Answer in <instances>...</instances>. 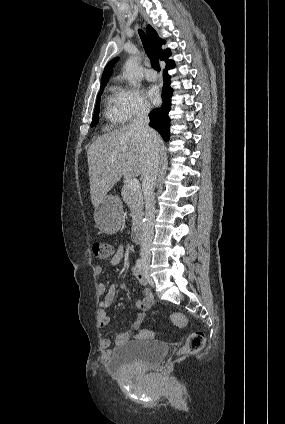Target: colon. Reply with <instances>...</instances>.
Instances as JSON below:
<instances>
[{
	"label": "colon",
	"mask_w": 285,
	"mask_h": 424,
	"mask_svg": "<svg viewBox=\"0 0 285 424\" xmlns=\"http://www.w3.org/2000/svg\"><path fill=\"white\" fill-rule=\"evenodd\" d=\"M92 250L94 255L100 259H106L112 256L113 248L110 244L103 241H96L93 243ZM173 325L182 328L186 325L187 320L181 313H173L170 316ZM153 336V332L146 330L142 334V338H149ZM205 345V336L202 332L191 333L184 346L181 349L182 354H194L203 349Z\"/></svg>",
	"instance_id": "colon-1"
}]
</instances>
